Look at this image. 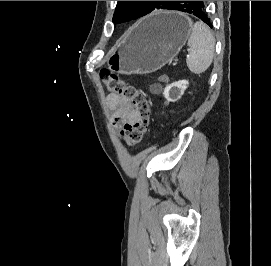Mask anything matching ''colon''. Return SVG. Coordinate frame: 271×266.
<instances>
[{
	"label": "colon",
	"instance_id": "obj_1",
	"mask_svg": "<svg viewBox=\"0 0 271 266\" xmlns=\"http://www.w3.org/2000/svg\"><path fill=\"white\" fill-rule=\"evenodd\" d=\"M100 77L111 94L129 100L133 104L137 120L124 124L121 136L128 146H137L142 142L148 130L151 117V107L146 94L109 70L101 71Z\"/></svg>",
	"mask_w": 271,
	"mask_h": 266
}]
</instances>
